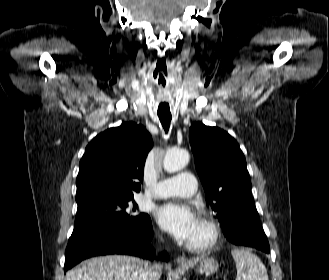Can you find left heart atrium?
<instances>
[{"label":"left heart atrium","mask_w":329,"mask_h":280,"mask_svg":"<svg viewBox=\"0 0 329 280\" xmlns=\"http://www.w3.org/2000/svg\"><path fill=\"white\" fill-rule=\"evenodd\" d=\"M156 219L176 239L186 242L191 240L198 226L194 210L186 204L176 202L160 206L156 211Z\"/></svg>","instance_id":"left-heart-atrium-1"}]
</instances>
